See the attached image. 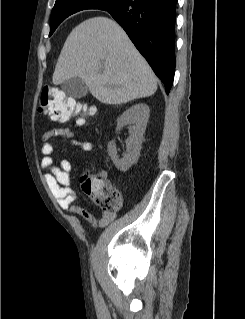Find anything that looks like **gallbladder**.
<instances>
[{
  "label": "gallbladder",
  "instance_id": "obj_1",
  "mask_svg": "<svg viewBox=\"0 0 245 319\" xmlns=\"http://www.w3.org/2000/svg\"><path fill=\"white\" fill-rule=\"evenodd\" d=\"M61 88L67 96L73 98H82L88 93V86L78 77L64 81Z\"/></svg>",
  "mask_w": 245,
  "mask_h": 319
}]
</instances>
